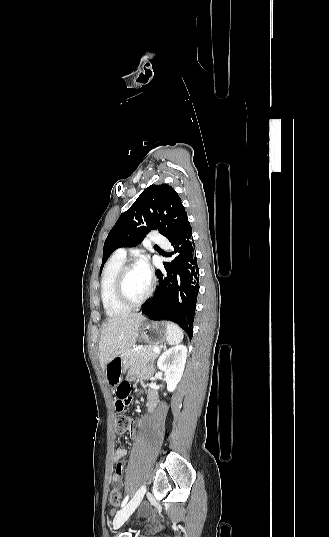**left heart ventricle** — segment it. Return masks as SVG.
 I'll return each mask as SVG.
<instances>
[{
  "label": "left heart ventricle",
  "instance_id": "obj_1",
  "mask_svg": "<svg viewBox=\"0 0 329 537\" xmlns=\"http://www.w3.org/2000/svg\"><path fill=\"white\" fill-rule=\"evenodd\" d=\"M149 282L143 278L137 267L130 270L124 283L126 296L131 301L139 300L147 291Z\"/></svg>",
  "mask_w": 329,
  "mask_h": 537
}]
</instances>
